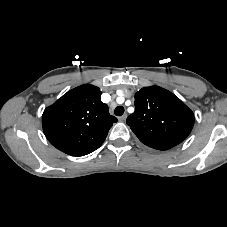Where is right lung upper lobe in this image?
I'll return each mask as SVG.
<instances>
[{"label": "right lung upper lobe", "mask_w": 227, "mask_h": 227, "mask_svg": "<svg viewBox=\"0 0 227 227\" xmlns=\"http://www.w3.org/2000/svg\"><path fill=\"white\" fill-rule=\"evenodd\" d=\"M94 85L76 87L42 115L43 131L49 142L72 156H84L99 148L117 118L111 116Z\"/></svg>", "instance_id": "obj_1"}]
</instances>
